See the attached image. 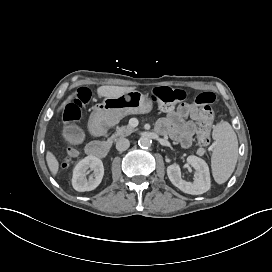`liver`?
Instances as JSON below:
<instances>
[{
	"mask_svg": "<svg viewBox=\"0 0 272 272\" xmlns=\"http://www.w3.org/2000/svg\"><path fill=\"white\" fill-rule=\"evenodd\" d=\"M135 87H120V86H101L97 89V93L99 97H118L122 94H124L127 91L134 90ZM72 99V96H69L66 101H64L59 108L62 109L63 106H65L70 100ZM46 160L48 167L53 175H56L58 172L59 164L55 156L51 152H47Z\"/></svg>",
	"mask_w": 272,
	"mask_h": 272,
	"instance_id": "obj_1",
	"label": "liver"
}]
</instances>
